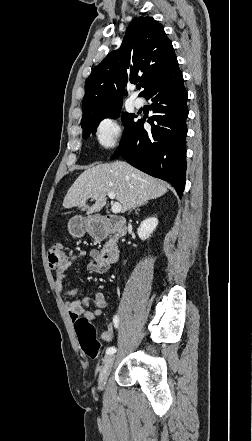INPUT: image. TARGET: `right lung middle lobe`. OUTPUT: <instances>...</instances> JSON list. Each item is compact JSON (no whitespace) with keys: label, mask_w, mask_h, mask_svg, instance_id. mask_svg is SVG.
Returning a JSON list of instances; mask_svg holds the SVG:
<instances>
[{"label":"right lung middle lobe","mask_w":252,"mask_h":441,"mask_svg":"<svg viewBox=\"0 0 252 441\" xmlns=\"http://www.w3.org/2000/svg\"><path fill=\"white\" fill-rule=\"evenodd\" d=\"M121 107L122 106L105 111V112H102V113L96 115L95 117H93L92 119H90L89 121L81 124V126L85 128L83 137L87 138V137H89L90 133L94 134L96 132V128H97L98 124L104 118H117V117H119ZM135 118H136V115H134V114H130V113H123L122 114V120H123L124 126H125V131H124L122 141L126 138L129 130L134 125Z\"/></svg>","instance_id":"right-lung-middle-lobe-1"}]
</instances>
